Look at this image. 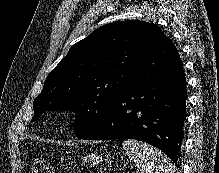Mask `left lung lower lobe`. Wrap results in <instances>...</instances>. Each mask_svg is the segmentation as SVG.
<instances>
[{
  "label": "left lung lower lobe",
  "mask_w": 219,
  "mask_h": 173,
  "mask_svg": "<svg viewBox=\"0 0 219 173\" xmlns=\"http://www.w3.org/2000/svg\"><path fill=\"white\" fill-rule=\"evenodd\" d=\"M135 84L86 140L137 139L162 150L176 165L186 117L182 61L167 38L137 68Z\"/></svg>",
  "instance_id": "1"
}]
</instances>
